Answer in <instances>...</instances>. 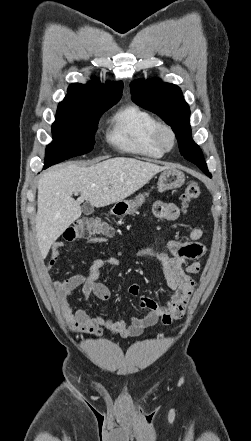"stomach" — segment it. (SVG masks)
<instances>
[{
    "mask_svg": "<svg viewBox=\"0 0 251 441\" xmlns=\"http://www.w3.org/2000/svg\"><path fill=\"white\" fill-rule=\"evenodd\" d=\"M185 182V175L182 171L176 168H169L164 170L158 179V191L164 192L180 188ZM145 201L144 195H139L135 200H121L113 207V213L116 215H131L139 206Z\"/></svg>",
    "mask_w": 251,
    "mask_h": 441,
    "instance_id": "obj_1",
    "label": "stomach"
}]
</instances>
